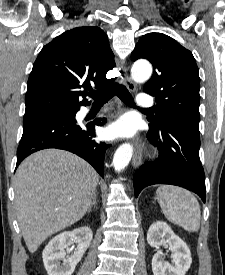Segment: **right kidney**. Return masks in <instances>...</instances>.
<instances>
[{
  "label": "right kidney",
  "instance_id": "ca27d5eb",
  "mask_svg": "<svg viewBox=\"0 0 225 275\" xmlns=\"http://www.w3.org/2000/svg\"><path fill=\"white\" fill-rule=\"evenodd\" d=\"M92 236L90 228L81 227L73 231L62 232L50 240L42 253L48 275H72L89 247ZM72 242L77 243V248L71 256H67L65 250ZM60 260H63L62 264Z\"/></svg>",
  "mask_w": 225,
  "mask_h": 275
}]
</instances>
